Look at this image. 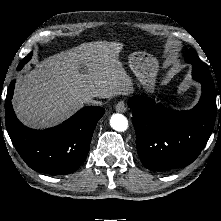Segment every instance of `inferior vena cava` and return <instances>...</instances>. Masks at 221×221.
<instances>
[{
    "label": "inferior vena cava",
    "instance_id": "602c4592",
    "mask_svg": "<svg viewBox=\"0 0 221 221\" xmlns=\"http://www.w3.org/2000/svg\"><path fill=\"white\" fill-rule=\"evenodd\" d=\"M84 102L87 104H96V105H100L101 102L100 101H96L93 97H86L84 99Z\"/></svg>",
    "mask_w": 221,
    "mask_h": 221
}]
</instances>
